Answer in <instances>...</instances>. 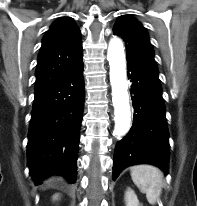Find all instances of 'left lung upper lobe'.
<instances>
[{"label":"left lung upper lobe","mask_w":197,"mask_h":206,"mask_svg":"<svg viewBox=\"0 0 197 206\" xmlns=\"http://www.w3.org/2000/svg\"><path fill=\"white\" fill-rule=\"evenodd\" d=\"M113 33L125 41L127 63L160 84L154 51L142 24L130 15H122L116 22Z\"/></svg>","instance_id":"obj_1"}]
</instances>
